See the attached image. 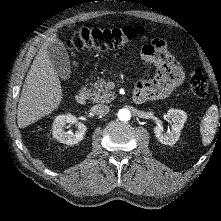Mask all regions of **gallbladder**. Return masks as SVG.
Listing matches in <instances>:
<instances>
[{"mask_svg": "<svg viewBox=\"0 0 221 221\" xmlns=\"http://www.w3.org/2000/svg\"><path fill=\"white\" fill-rule=\"evenodd\" d=\"M48 55L56 72L63 80L70 78V59L64 44L60 41L49 43Z\"/></svg>", "mask_w": 221, "mask_h": 221, "instance_id": "bac80fb5", "label": "gallbladder"}]
</instances>
